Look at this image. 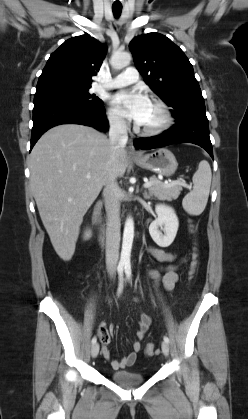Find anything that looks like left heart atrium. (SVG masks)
I'll return each instance as SVG.
<instances>
[{
	"instance_id": "1",
	"label": "left heart atrium",
	"mask_w": 248,
	"mask_h": 419,
	"mask_svg": "<svg viewBox=\"0 0 248 419\" xmlns=\"http://www.w3.org/2000/svg\"><path fill=\"white\" fill-rule=\"evenodd\" d=\"M112 101L123 116L138 124L145 119L151 103L146 95L136 89L120 91Z\"/></svg>"
}]
</instances>
